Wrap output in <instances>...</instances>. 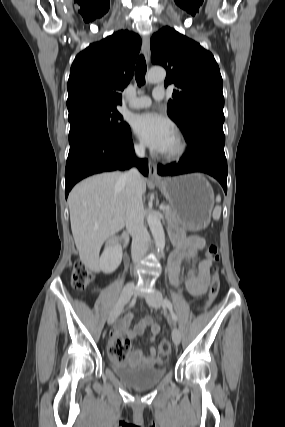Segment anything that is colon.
Instances as JSON below:
<instances>
[{"mask_svg": "<svg viewBox=\"0 0 285 427\" xmlns=\"http://www.w3.org/2000/svg\"><path fill=\"white\" fill-rule=\"evenodd\" d=\"M206 255L211 262H217L219 259L218 247L210 245L207 248ZM93 279L92 273L87 269L84 263L78 261L75 263L72 274L71 282L74 289L78 291L85 290ZM220 289L219 269L215 265L213 267V275L209 287L208 300L205 308H208L216 299ZM111 357L118 363H124L130 352V346L127 341L116 344L114 347L109 348ZM171 352V344L168 340L161 342L157 355V364L162 365L168 359Z\"/></svg>", "mask_w": 285, "mask_h": 427, "instance_id": "1", "label": "colon"}]
</instances>
